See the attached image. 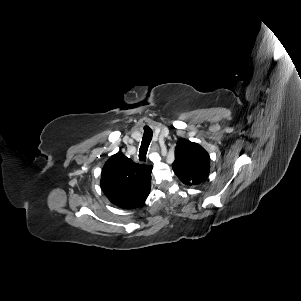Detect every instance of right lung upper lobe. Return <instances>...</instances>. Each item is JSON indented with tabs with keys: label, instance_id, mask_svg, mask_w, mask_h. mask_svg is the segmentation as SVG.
<instances>
[{
	"label": "right lung upper lobe",
	"instance_id": "obj_1",
	"mask_svg": "<svg viewBox=\"0 0 301 301\" xmlns=\"http://www.w3.org/2000/svg\"><path fill=\"white\" fill-rule=\"evenodd\" d=\"M151 172V165L134 163L119 152L105 163L101 188L116 206L134 209L144 204L150 193Z\"/></svg>",
	"mask_w": 301,
	"mask_h": 301
}]
</instances>
